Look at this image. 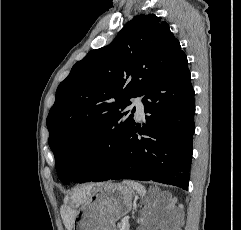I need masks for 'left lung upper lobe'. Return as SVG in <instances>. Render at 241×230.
<instances>
[{
	"label": "left lung upper lobe",
	"mask_w": 241,
	"mask_h": 230,
	"mask_svg": "<svg viewBox=\"0 0 241 230\" xmlns=\"http://www.w3.org/2000/svg\"><path fill=\"white\" fill-rule=\"evenodd\" d=\"M182 53L166 22L155 14L139 15L110 45L90 51L72 67L46 121L63 183L70 182L74 166L91 147L113 143L129 129L133 114L123 110L130 99L144 95Z\"/></svg>",
	"instance_id": "1"
}]
</instances>
